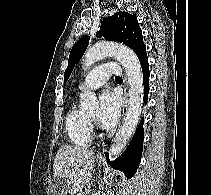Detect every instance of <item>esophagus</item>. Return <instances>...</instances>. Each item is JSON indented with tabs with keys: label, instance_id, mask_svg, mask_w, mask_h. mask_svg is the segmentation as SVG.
<instances>
[{
	"label": "esophagus",
	"instance_id": "esophagus-1",
	"mask_svg": "<svg viewBox=\"0 0 211 195\" xmlns=\"http://www.w3.org/2000/svg\"><path fill=\"white\" fill-rule=\"evenodd\" d=\"M124 96L126 98V103L122 109V121L124 120V118L127 114V110H128V86H127V83L125 80H124ZM97 157L102 158L103 157L102 153L101 152L97 153Z\"/></svg>",
	"mask_w": 211,
	"mask_h": 195
}]
</instances>
